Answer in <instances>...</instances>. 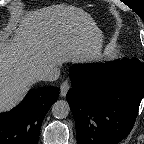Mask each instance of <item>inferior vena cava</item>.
Listing matches in <instances>:
<instances>
[{"label":"inferior vena cava","mask_w":144,"mask_h":144,"mask_svg":"<svg viewBox=\"0 0 144 144\" xmlns=\"http://www.w3.org/2000/svg\"><path fill=\"white\" fill-rule=\"evenodd\" d=\"M60 76V69L57 67L54 68H48L46 69L42 75H41V80L44 81H55L59 78Z\"/></svg>","instance_id":"1"}]
</instances>
